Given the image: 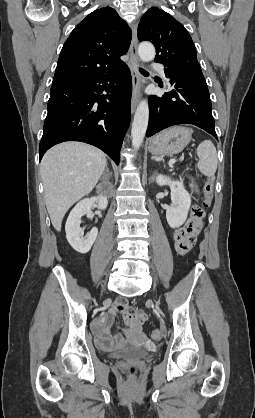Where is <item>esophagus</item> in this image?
I'll list each match as a JSON object with an SVG mask.
<instances>
[{"label": "esophagus", "instance_id": "obj_1", "mask_svg": "<svg viewBox=\"0 0 255 418\" xmlns=\"http://www.w3.org/2000/svg\"><path fill=\"white\" fill-rule=\"evenodd\" d=\"M137 46H138V40H137V29L136 24L133 26L132 30V40L130 45V62H129V68L132 75V98H131V110L134 111L140 96H141V75L138 71V65H139V58L137 54Z\"/></svg>", "mask_w": 255, "mask_h": 418}]
</instances>
